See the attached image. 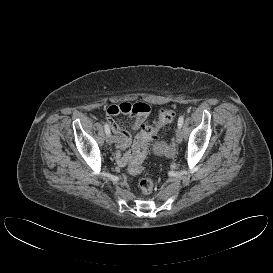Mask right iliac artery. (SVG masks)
I'll return each mask as SVG.
<instances>
[{"mask_svg":"<svg viewBox=\"0 0 273 273\" xmlns=\"http://www.w3.org/2000/svg\"><path fill=\"white\" fill-rule=\"evenodd\" d=\"M104 129H105L106 135L110 134V128L107 123L104 124Z\"/></svg>","mask_w":273,"mask_h":273,"instance_id":"obj_1","label":"right iliac artery"}]
</instances>
